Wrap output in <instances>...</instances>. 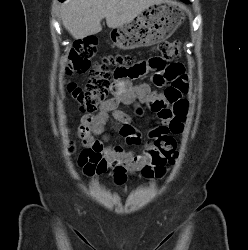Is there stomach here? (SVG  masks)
Here are the masks:
<instances>
[{"label":"stomach","instance_id":"1","mask_svg":"<svg viewBox=\"0 0 248 250\" xmlns=\"http://www.w3.org/2000/svg\"><path fill=\"white\" fill-rule=\"evenodd\" d=\"M183 19L181 6L164 0L143 10L135 20L114 28L110 39L123 50L151 46L169 38Z\"/></svg>","mask_w":248,"mask_h":250}]
</instances>
